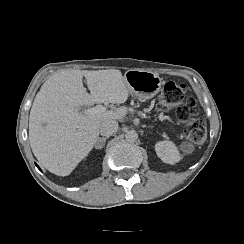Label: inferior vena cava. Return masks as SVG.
<instances>
[{"instance_id":"1","label":"inferior vena cava","mask_w":244,"mask_h":244,"mask_svg":"<svg viewBox=\"0 0 244 244\" xmlns=\"http://www.w3.org/2000/svg\"><path fill=\"white\" fill-rule=\"evenodd\" d=\"M118 128H119L118 122L115 120L104 121L98 127L99 133L102 136H106V137H109L114 133H116Z\"/></svg>"}]
</instances>
